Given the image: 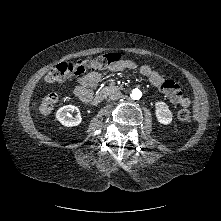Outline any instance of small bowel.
Returning <instances> with one entry per match:
<instances>
[{
    "label": "small bowel",
    "mask_w": 221,
    "mask_h": 221,
    "mask_svg": "<svg viewBox=\"0 0 221 221\" xmlns=\"http://www.w3.org/2000/svg\"><path fill=\"white\" fill-rule=\"evenodd\" d=\"M135 68L136 65L133 62L126 60L115 64L112 67V70L123 71ZM139 71L141 75L146 77L154 87L164 93L171 103L180 105L184 108L190 106V100L183 95L177 83L170 79L163 78L156 70L148 65H142L139 68ZM100 79L101 74L96 71H92L80 78L79 83L75 88L76 96L86 102L93 95L91 88L96 86Z\"/></svg>",
    "instance_id": "c3829d8e"
}]
</instances>
